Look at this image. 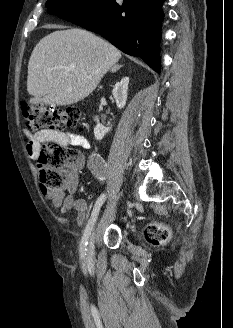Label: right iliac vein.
I'll list each match as a JSON object with an SVG mask.
<instances>
[{
    "instance_id": "63e3f726",
    "label": "right iliac vein",
    "mask_w": 233,
    "mask_h": 328,
    "mask_svg": "<svg viewBox=\"0 0 233 328\" xmlns=\"http://www.w3.org/2000/svg\"><path fill=\"white\" fill-rule=\"evenodd\" d=\"M95 231H93L91 237H90V241H89V245L87 246V250L85 253V260L87 265H92L93 261H94V254H95Z\"/></svg>"
}]
</instances>
